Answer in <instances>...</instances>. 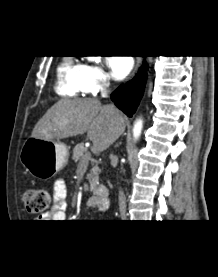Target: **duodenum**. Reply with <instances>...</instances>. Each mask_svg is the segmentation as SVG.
<instances>
[{
    "mask_svg": "<svg viewBox=\"0 0 218 277\" xmlns=\"http://www.w3.org/2000/svg\"><path fill=\"white\" fill-rule=\"evenodd\" d=\"M92 202L100 209H106L109 202V189L105 185H100L94 190Z\"/></svg>",
    "mask_w": 218,
    "mask_h": 277,
    "instance_id": "duodenum-1",
    "label": "duodenum"
}]
</instances>
